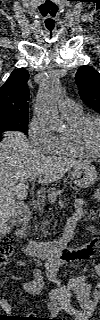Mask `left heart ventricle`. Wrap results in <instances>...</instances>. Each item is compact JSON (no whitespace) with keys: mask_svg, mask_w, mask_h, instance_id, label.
I'll list each match as a JSON object with an SVG mask.
<instances>
[{"mask_svg":"<svg viewBox=\"0 0 100 320\" xmlns=\"http://www.w3.org/2000/svg\"><path fill=\"white\" fill-rule=\"evenodd\" d=\"M84 140L93 148L97 149L100 144V133L96 123H89L83 133Z\"/></svg>","mask_w":100,"mask_h":320,"instance_id":"left-heart-ventricle-1","label":"left heart ventricle"}]
</instances>
